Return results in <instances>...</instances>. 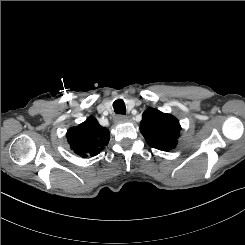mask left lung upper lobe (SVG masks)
Masks as SVG:
<instances>
[{"label": "left lung upper lobe", "mask_w": 245, "mask_h": 245, "mask_svg": "<svg viewBox=\"0 0 245 245\" xmlns=\"http://www.w3.org/2000/svg\"><path fill=\"white\" fill-rule=\"evenodd\" d=\"M180 130L178 120L170 114L148 108L142 115L140 131L151 147L162 151L175 148Z\"/></svg>", "instance_id": "5c2ea615"}]
</instances>
